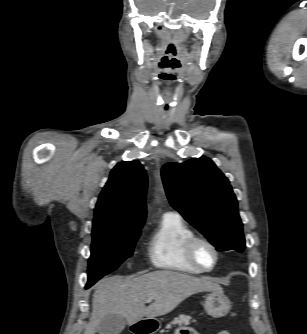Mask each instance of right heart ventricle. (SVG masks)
<instances>
[{
	"label": "right heart ventricle",
	"mask_w": 307,
	"mask_h": 334,
	"mask_svg": "<svg viewBox=\"0 0 307 334\" xmlns=\"http://www.w3.org/2000/svg\"><path fill=\"white\" fill-rule=\"evenodd\" d=\"M193 231L183 219L174 214H164L152 231L147 243V256L158 269L186 273H202L186 258L184 244Z\"/></svg>",
	"instance_id": "right-heart-ventricle-1"
}]
</instances>
